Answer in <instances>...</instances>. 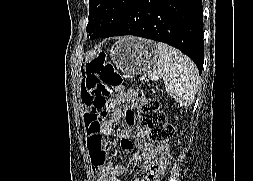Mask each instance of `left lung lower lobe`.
I'll return each instance as SVG.
<instances>
[{
  "label": "left lung lower lobe",
  "instance_id": "left-lung-lower-lobe-1",
  "mask_svg": "<svg viewBox=\"0 0 253 181\" xmlns=\"http://www.w3.org/2000/svg\"><path fill=\"white\" fill-rule=\"evenodd\" d=\"M122 35L167 43L189 56L202 72V0H131L117 22L101 37Z\"/></svg>",
  "mask_w": 253,
  "mask_h": 181
}]
</instances>
